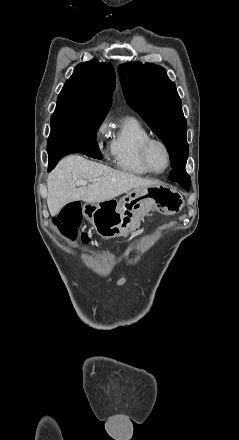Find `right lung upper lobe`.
I'll return each instance as SVG.
<instances>
[{
  "label": "right lung upper lobe",
  "mask_w": 239,
  "mask_h": 440,
  "mask_svg": "<svg viewBox=\"0 0 239 440\" xmlns=\"http://www.w3.org/2000/svg\"><path fill=\"white\" fill-rule=\"evenodd\" d=\"M114 88L115 71L111 63L96 59L80 63L60 92L56 109L106 116Z\"/></svg>",
  "instance_id": "obj_1"
}]
</instances>
